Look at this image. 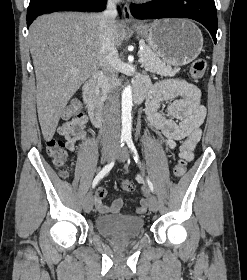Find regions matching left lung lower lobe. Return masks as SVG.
I'll use <instances>...</instances> for the list:
<instances>
[{"label": "left lung lower lobe", "mask_w": 247, "mask_h": 280, "mask_svg": "<svg viewBox=\"0 0 247 280\" xmlns=\"http://www.w3.org/2000/svg\"><path fill=\"white\" fill-rule=\"evenodd\" d=\"M131 14L137 19L189 18L203 24L216 43L217 12L214 0H153L131 5Z\"/></svg>", "instance_id": "left-lung-lower-lobe-1"}]
</instances>
